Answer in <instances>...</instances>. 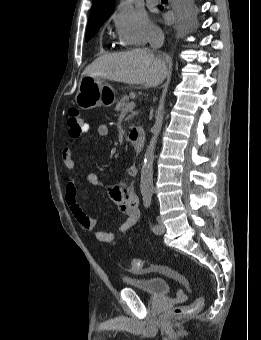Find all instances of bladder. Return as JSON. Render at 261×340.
<instances>
[{
	"label": "bladder",
	"instance_id": "obj_1",
	"mask_svg": "<svg viewBox=\"0 0 261 340\" xmlns=\"http://www.w3.org/2000/svg\"><path fill=\"white\" fill-rule=\"evenodd\" d=\"M122 282L137 291L145 293L151 297H164L169 294L170 282L160 276L146 278L122 277Z\"/></svg>",
	"mask_w": 261,
	"mask_h": 340
}]
</instances>
